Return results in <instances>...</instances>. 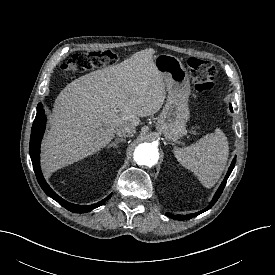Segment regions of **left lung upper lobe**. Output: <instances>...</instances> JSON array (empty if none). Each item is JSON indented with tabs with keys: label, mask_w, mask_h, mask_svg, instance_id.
Returning a JSON list of instances; mask_svg holds the SVG:
<instances>
[{
	"label": "left lung upper lobe",
	"mask_w": 275,
	"mask_h": 275,
	"mask_svg": "<svg viewBox=\"0 0 275 275\" xmlns=\"http://www.w3.org/2000/svg\"><path fill=\"white\" fill-rule=\"evenodd\" d=\"M230 109L232 110V106L230 105Z\"/></svg>",
	"instance_id": "5c2ea615"
}]
</instances>
